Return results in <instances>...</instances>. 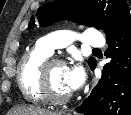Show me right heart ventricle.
<instances>
[{
  "instance_id": "obj_1",
  "label": "right heart ventricle",
  "mask_w": 131,
  "mask_h": 115,
  "mask_svg": "<svg viewBox=\"0 0 131 115\" xmlns=\"http://www.w3.org/2000/svg\"><path fill=\"white\" fill-rule=\"evenodd\" d=\"M50 54L38 45L27 51L20 59L17 67V83L23 98L32 103L44 102L38 90V72L41 64Z\"/></svg>"
}]
</instances>
